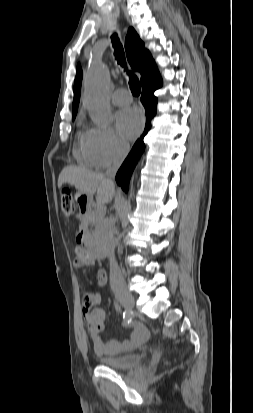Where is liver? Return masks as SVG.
I'll return each instance as SVG.
<instances>
[{
    "label": "liver",
    "instance_id": "obj_1",
    "mask_svg": "<svg viewBox=\"0 0 253 413\" xmlns=\"http://www.w3.org/2000/svg\"><path fill=\"white\" fill-rule=\"evenodd\" d=\"M68 183L88 195L93 196L96 193V202L104 205L110 202L114 195V184L112 180L101 173H96L85 168L77 166L65 167L58 178V188Z\"/></svg>",
    "mask_w": 253,
    "mask_h": 413
}]
</instances>
